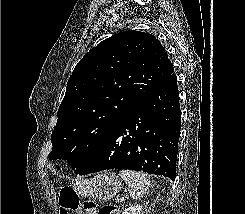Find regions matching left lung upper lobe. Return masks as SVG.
Wrapping results in <instances>:
<instances>
[{
  "label": "left lung upper lobe",
  "instance_id": "left-lung-upper-lobe-1",
  "mask_svg": "<svg viewBox=\"0 0 245 214\" xmlns=\"http://www.w3.org/2000/svg\"><path fill=\"white\" fill-rule=\"evenodd\" d=\"M173 71L160 41L149 33L126 31L99 43L67 82L49 159H66L78 168Z\"/></svg>",
  "mask_w": 245,
  "mask_h": 214
}]
</instances>
